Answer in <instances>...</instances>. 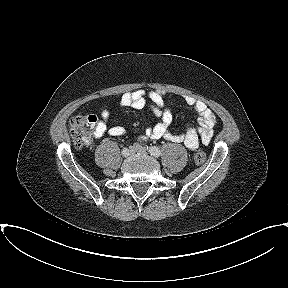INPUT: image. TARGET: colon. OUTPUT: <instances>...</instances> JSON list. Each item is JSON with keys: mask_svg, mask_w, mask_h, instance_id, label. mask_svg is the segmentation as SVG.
I'll use <instances>...</instances> for the list:
<instances>
[{"mask_svg": "<svg viewBox=\"0 0 288 288\" xmlns=\"http://www.w3.org/2000/svg\"><path fill=\"white\" fill-rule=\"evenodd\" d=\"M97 125L95 115H80L70 119L69 129L76 146L80 147L91 141L92 135ZM194 160L197 164H203L206 154L202 150L196 151Z\"/></svg>", "mask_w": 288, "mask_h": 288, "instance_id": "colon-1", "label": "colon"}]
</instances>
